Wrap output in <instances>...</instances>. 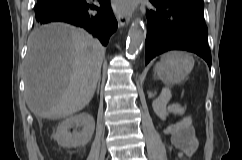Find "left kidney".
<instances>
[{"label":"left kidney","instance_id":"1","mask_svg":"<svg viewBox=\"0 0 242 160\" xmlns=\"http://www.w3.org/2000/svg\"><path fill=\"white\" fill-rule=\"evenodd\" d=\"M179 109H180V112L183 113V109L181 108ZM153 110L161 120L166 119V116L168 115V112L166 109V103H161L157 99L156 101L153 102Z\"/></svg>","mask_w":242,"mask_h":160}]
</instances>
